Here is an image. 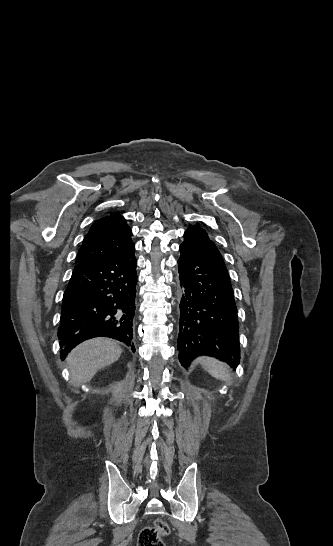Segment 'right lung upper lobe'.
I'll return each mask as SVG.
<instances>
[{"label":"right lung upper lobe","mask_w":333,"mask_h":546,"mask_svg":"<svg viewBox=\"0 0 333 546\" xmlns=\"http://www.w3.org/2000/svg\"><path fill=\"white\" fill-rule=\"evenodd\" d=\"M132 231L119 213L105 216L91 226L79 249L75 264L110 259L132 245Z\"/></svg>","instance_id":"1"}]
</instances>
